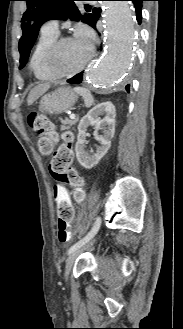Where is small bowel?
Returning a JSON list of instances; mask_svg holds the SVG:
<instances>
[{
    "label": "small bowel",
    "mask_w": 183,
    "mask_h": 329,
    "mask_svg": "<svg viewBox=\"0 0 183 329\" xmlns=\"http://www.w3.org/2000/svg\"><path fill=\"white\" fill-rule=\"evenodd\" d=\"M51 194L56 201L55 218H74L75 206H73L72 187H61L60 182H51Z\"/></svg>",
    "instance_id": "c3829d8e"
}]
</instances>
